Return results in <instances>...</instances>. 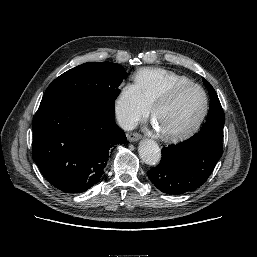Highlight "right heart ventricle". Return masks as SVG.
<instances>
[{
	"label": "right heart ventricle",
	"mask_w": 257,
	"mask_h": 257,
	"mask_svg": "<svg viewBox=\"0 0 257 257\" xmlns=\"http://www.w3.org/2000/svg\"><path fill=\"white\" fill-rule=\"evenodd\" d=\"M134 81L150 107L171 88L191 82L189 78L163 68H142L135 73Z\"/></svg>",
	"instance_id": "1"
}]
</instances>
